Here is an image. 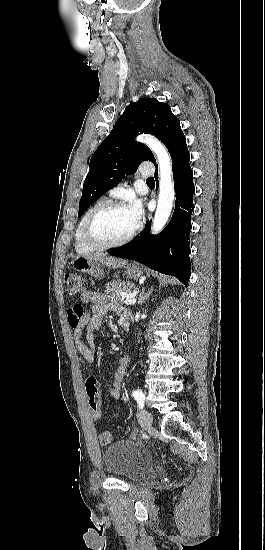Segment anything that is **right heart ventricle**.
I'll return each instance as SVG.
<instances>
[{
	"label": "right heart ventricle",
	"instance_id": "obj_1",
	"mask_svg": "<svg viewBox=\"0 0 265 550\" xmlns=\"http://www.w3.org/2000/svg\"><path fill=\"white\" fill-rule=\"evenodd\" d=\"M106 199L105 198H100L98 199L97 201H95L87 210L86 212L83 214V216L80 218L78 224H77V227L75 229V234H74V246H75V250L78 252V253H81V254H86V253H90L94 250H96L95 248L89 246L83 239L82 237V225H83V222L86 218V216L94 209L96 208L98 205L102 204L103 202H105Z\"/></svg>",
	"mask_w": 265,
	"mask_h": 550
}]
</instances>
